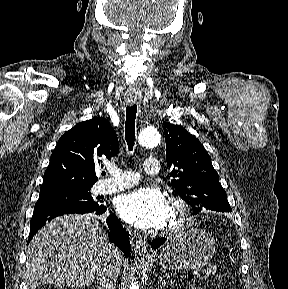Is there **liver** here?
<instances>
[{
    "mask_svg": "<svg viewBox=\"0 0 288 289\" xmlns=\"http://www.w3.org/2000/svg\"><path fill=\"white\" fill-rule=\"evenodd\" d=\"M115 247L93 214H68L47 223L27 249L25 280L28 289L41 284L76 287L91 284ZM121 264L123 256L118 250Z\"/></svg>",
    "mask_w": 288,
    "mask_h": 289,
    "instance_id": "obj_1",
    "label": "liver"
}]
</instances>
